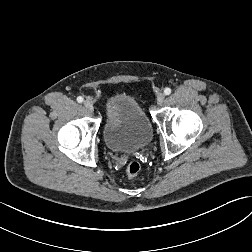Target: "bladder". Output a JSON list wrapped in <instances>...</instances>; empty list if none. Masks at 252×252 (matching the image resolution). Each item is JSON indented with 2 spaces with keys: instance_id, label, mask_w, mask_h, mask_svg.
I'll use <instances>...</instances> for the list:
<instances>
[{
  "instance_id": "bladder-1",
  "label": "bladder",
  "mask_w": 252,
  "mask_h": 252,
  "mask_svg": "<svg viewBox=\"0 0 252 252\" xmlns=\"http://www.w3.org/2000/svg\"><path fill=\"white\" fill-rule=\"evenodd\" d=\"M152 136L150 120L136 100L118 95L107 102L103 138L109 150L135 152L146 147Z\"/></svg>"
}]
</instances>
